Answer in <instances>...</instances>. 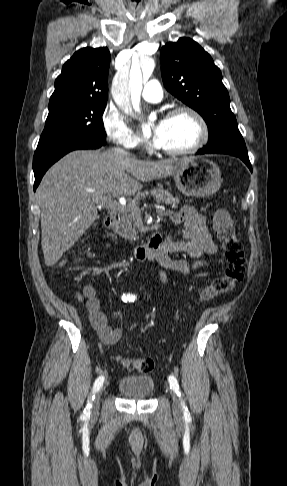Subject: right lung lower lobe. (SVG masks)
Instances as JSON below:
<instances>
[{
	"label": "right lung lower lobe",
	"instance_id": "1",
	"mask_svg": "<svg viewBox=\"0 0 287 486\" xmlns=\"http://www.w3.org/2000/svg\"><path fill=\"white\" fill-rule=\"evenodd\" d=\"M105 144L99 143H72L52 148L39 149L34 153L33 171L35 176L34 191L39 185L47 169L70 151L77 149H97Z\"/></svg>",
	"mask_w": 287,
	"mask_h": 486
}]
</instances>
